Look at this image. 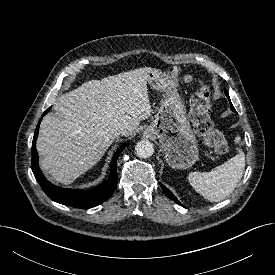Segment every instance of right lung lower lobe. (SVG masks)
I'll list each match as a JSON object with an SVG mask.
<instances>
[{
  "instance_id": "1",
  "label": "right lung lower lobe",
  "mask_w": 275,
  "mask_h": 275,
  "mask_svg": "<svg viewBox=\"0 0 275 275\" xmlns=\"http://www.w3.org/2000/svg\"><path fill=\"white\" fill-rule=\"evenodd\" d=\"M50 108H48L43 113L42 117L49 112ZM40 121L36 127V131L34 133V138L32 142L31 167L36 180L38 181V183L40 184L41 188L46 193V195L57 203L76 207V208H82V209L92 208L106 201L111 196L114 189L116 188V185H117V171H116L117 163L116 162H117V159L119 158L120 153L124 150L127 144L122 145L113 156L110 176L106 182L87 191L59 188L57 186H54L44 178L38 166L36 140L39 132Z\"/></svg>"
}]
</instances>
